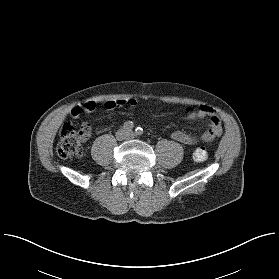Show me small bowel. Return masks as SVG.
<instances>
[{
    "label": "small bowel",
    "mask_w": 279,
    "mask_h": 279,
    "mask_svg": "<svg viewBox=\"0 0 279 279\" xmlns=\"http://www.w3.org/2000/svg\"><path fill=\"white\" fill-rule=\"evenodd\" d=\"M94 104L97 103H103L105 108L107 110L115 109L116 107H121L124 105H134L135 100L134 99H110V98H101V97H95L93 99ZM213 111L211 107L209 106H200L198 109H191L189 110L188 114L186 115V118L188 119H195V118H203L207 116L209 112ZM69 115L71 117L77 118L79 116V112L77 108H73L70 110ZM207 134V131L202 134L201 139L203 140L205 135ZM171 138L173 140L182 142V143H193L195 142V138L181 130H176L171 134Z\"/></svg>",
    "instance_id": "1"
}]
</instances>
